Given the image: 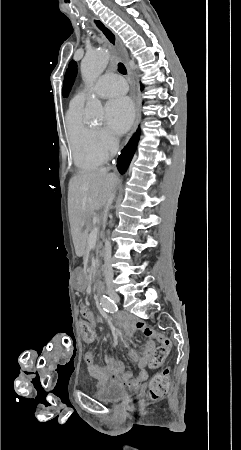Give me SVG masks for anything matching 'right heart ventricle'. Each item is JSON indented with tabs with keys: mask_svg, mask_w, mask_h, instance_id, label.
<instances>
[{
	"mask_svg": "<svg viewBox=\"0 0 241 450\" xmlns=\"http://www.w3.org/2000/svg\"><path fill=\"white\" fill-rule=\"evenodd\" d=\"M82 103L74 101L71 104L65 118L66 134L76 166L98 167L106 161V155L100 150L101 141L91 136V129L82 121Z\"/></svg>",
	"mask_w": 241,
	"mask_h": 450,
	"instance_id": "obj_1",
	"label": "right heart ventricle"
}]
</instances>
